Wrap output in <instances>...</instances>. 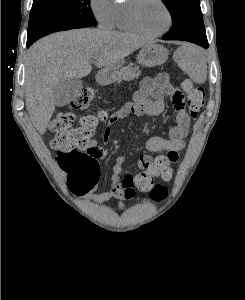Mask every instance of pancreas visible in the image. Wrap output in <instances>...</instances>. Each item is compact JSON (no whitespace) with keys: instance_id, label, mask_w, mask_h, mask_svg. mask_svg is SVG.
<instances>
[{"instance_id":"1","label":"pancreas","mask_w":245,"mask_h":300,"mask_svg":"<svg viewBox=\"0 0 245 300\" xmlns=\"http://www.w3.org/2000/svg\"><path fill=\"white\" fill-rule=\"evenodd\" d=\"M140 71L138 67H133V64H129L128 67H124L121 69L118 77L117 82L120 83L122 80L130 81L136 79L140 76Z\"/></svg>"}]
</instances>
